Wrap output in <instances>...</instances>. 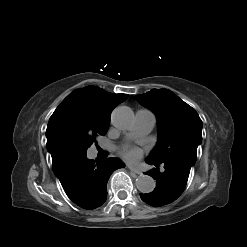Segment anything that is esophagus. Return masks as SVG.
<instances>
[{
	"mask_svg": "<svg viewBox=\"0 0 247 247\" xmlns=\"http://www.w3.org/2000/svg\"><path fill=\"white\" fill-rule=\"evenodd\" d=\"M128 168H129L132 172H134V173H136V174H141V172H140L137 168H135L134 166H132V165H128Z\"/></svg>",
	"mask_w": 247,
	"mask_h": 247,
	"instance_id": "esophagus-1",
	"label": "esophagus"
}]
</instances>
